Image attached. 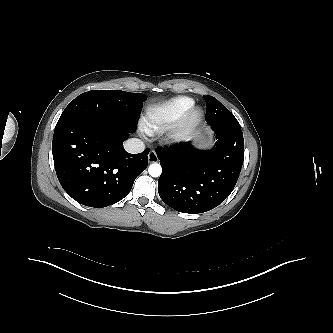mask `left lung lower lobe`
I'll return each mask as SVG.
<instances>
[{"mask_svg":"<svg viewBox=\"0 0 333 333\" xmlns=\"http://www.w3.org/2000/svg\"><path fill=\"white\" fill-rule=\"evenodd\" d=\"M210 126L217 140L212 150H199L190 142L156 150L162 166L159 195L179 212L197 214L217 207L238 180L244 160L240 125Z\"/></svg>","mask_w":333,"mask_h":333,"instance_id":"0a47b994","label":"left lung lower lobe"}]
</instances>
